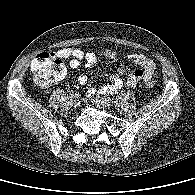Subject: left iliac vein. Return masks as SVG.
<instances>
[{
    "label": "left iliac vein",
    "instance_id": "left-iliac-vein-1",
    "mask_svg": "<svg viewBox=\"0 0 195 195\" xmlns=\"http://www.w3.org/2000/svg\"><path fill=\"white\" fill-rule=\"evenodd\" d=\"M93 102L101 109H108L110 107V104L105 100V99H102V98H95L93 99Z\"/></svg>",
    "mask_w": 195,
    "mask_h": 195
}]
</instances>
